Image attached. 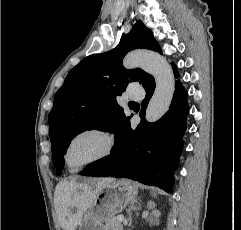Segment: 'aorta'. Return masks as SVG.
Listing matches in <instances>:
<instances>
[{"label": "aorta", "mask_w": 241, "mask_h": 230, "mask_svg": "<svg viewBox=\"0 0 241 230\" xmlns=\"http://www.w3.org/2000/svg\"><path fill=\"white\" fill-rule=\"evenodd\" d=\"M126 69L141 67L154 77L155 91L146 109L145 118L148 122L158 121L169 109L175 81L172 69L166 59L153 52H131L123 60Z\"/></svg>", "instance_id": "1"}]
</instances>
